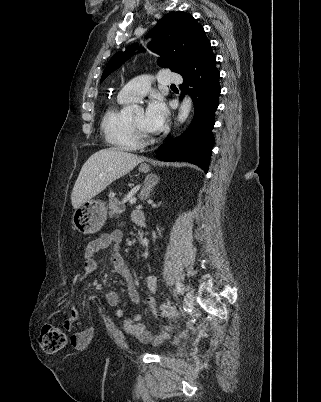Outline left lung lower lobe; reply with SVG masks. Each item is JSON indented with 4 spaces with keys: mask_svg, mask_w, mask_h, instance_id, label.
<instances>
[{
    "mask_svg": "<svg viewBox=\"0 0 321 402\" xmlns=\"http://www.w3.org/2000/svg\"><path fill=\"white\" fill-rule=\"evenodd\" d=\"M180 75L184 79L181 85L182 93L189 90L193 98L194 118L180 137L166 142L159 148L158 159L187 161L207 172L214 145V112L218 107L221 91L220 73L216 68V57L209 40L199 48Z\"/></svg>",
    "mask_w": 321,
    "mask_h": 402,
    "instance_id": "left-lung-lower-lobe-1",
    "label": "left lung lower lobe"
}]
</instances>
